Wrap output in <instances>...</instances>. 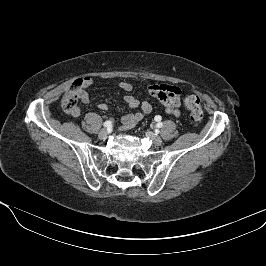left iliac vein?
Returning <instances> with one entry per match:
<instances>
[{"instance_id": "1", "label": "left iliac vein", "mask_w": 266, "mask_h": 266, "mask_svg": "<svg viewBox=\"0 0 266 266\" xmlns=\"http://www.w3.org/2000/svg\"><path fill=\"white\" fill-rule=\"evenodd\" d=\"M146 136L157 146L162 144V139L153 132L147 131Z\"/></svg>"}]
</instances>
